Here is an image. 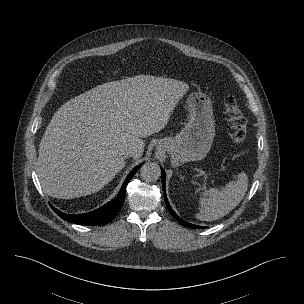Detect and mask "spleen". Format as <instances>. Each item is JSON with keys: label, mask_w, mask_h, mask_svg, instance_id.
Returning <instances> with one entry per match:
<instances>
[{"label": "spleen", "mask_w": 304, "mask_h": 304, "mask_svg": "<svg viewBox=\"0 0 304 304\" xmlns=\"http://www.w3.org/2000/svg\"><path fill=\"white\" fill-rule=\"evenodd\" d=\"M248 188V178L240 173L238 179L228 183L224 189L211 188L204 191L200 200V212L197 218L213 221L224 217L233 210L244 198Z\"/></svg>", "instance_id": "obj_1"}]
</instances>
